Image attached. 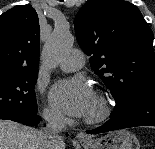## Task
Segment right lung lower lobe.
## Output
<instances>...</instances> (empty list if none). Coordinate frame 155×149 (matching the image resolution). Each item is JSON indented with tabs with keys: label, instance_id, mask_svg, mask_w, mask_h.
Instances as JSON below:
<instances>
[{
	"label": "right lung lower lobe",
	"instance_id": "obj_1",
	"mask_svg": "<svg viewBox=\"0 0 155 149\" xmlns=\"http://www.w3.org/2000/svg\"><path fill=\"white\" fill-rule=\"evenodd\" d=\"M0 119L10 120L8 118H3V117H0ZM40 120H41V118L39 116H37L35 113L27 121H23V122H19V123H22V124L28 125V126H35L39 123ZM12 121H14V120H12ZM16 122H18V121H16ZM66 135H68V134H66Z\"/></svg>",
	"mask_w": 155,
	"mask_h": 149
}]
</instances>
